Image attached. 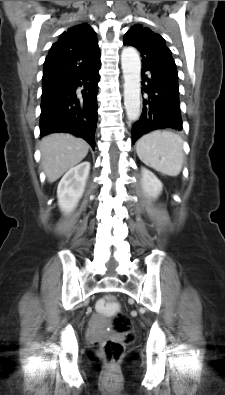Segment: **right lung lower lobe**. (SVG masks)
Instances as JSON below:
<instances>
[{
  "mask_svg": "<svg viewBox=\"0 0 225 395\" xmlns=\"http://www.w3.org/2000/svg\"><path fill=\"white\" fill-rule=\"evenodd\" d=\"M101 62L74 73L62 75L43 84L41 96L40 136L71 133L95 147L97 93ZM83 86L80 94L77 87Z\"/></svg>",
  "mask_w": 225,
  "mask_h": 395,
  "instance_id": "1",
  "label": "right lung lower lobe"
}]
</instances>
